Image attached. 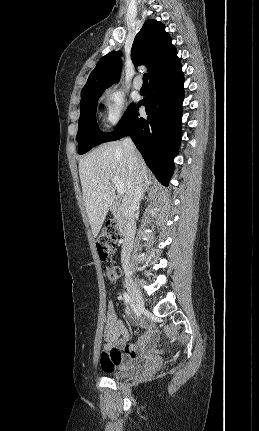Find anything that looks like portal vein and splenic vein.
Instances as JSON below:
<instances>
[{
    "mask_svg": "<svg viewBox=\"0 0 259 431\" xmlns=\"http://www.w3.org/2000/svg\"><path fill=\"white\" fill-rule=\"evenodd\" d=\"M111 180L114 183V185H115V187L117 189V192L119 194H124L125 193V187H124V184L119 180V178L118 177H114Z\"/></svg>",
    "mask_w": 259,
    "mask_h": 431,
    "instance_id": "portal-vein-and-splenic-vein-1",
    "label": "portal vein and splenic vein"
}]
</instances>
